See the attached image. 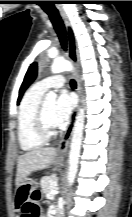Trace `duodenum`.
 <instances>
[{
    "label": "duodenum",
    "mask_w": 132,
    "mask_h": 217,
    "mask_svg": "<svg viewBox=\"0 0 132 217\" xmlns=\"http://www.w3.org/2000/svg\"><path fill=\"white\" fill-rule=\"evenodd\" d=\"M51 217H59L56 213H53Z\"/></svg>",
    "instance_id": "410a0bca"
}]
</instances>
